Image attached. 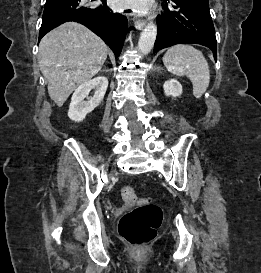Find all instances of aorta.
I'll list each match as a JSON object with an SVG mask.
<instances>
[{"instance_id": "1", "label": "aorta", "mask_w": 261, "mask_h": 273, "mask_svg": "<svg viewBox=\"0 0 261 273\" xmlns=\"http://www.w3.org/2000/svg\"><path fill=\"white\" fill-rule=\"evenodd\" d=\"M157 35V26L155 23L150 22L143 29L139 41L138 50L143 54L147 55L152 50Z\"/></svg>"}]
</instances>
